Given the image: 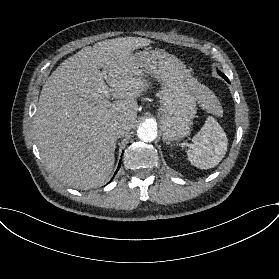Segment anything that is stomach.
<instances>
[{
  "label": "stomach",
  "instance_id": "obj_1",
  "mask_svg": "<svg viewBox=\"0 0 279 279\" xmlns=\"http://www.w3.org/2000/svg\"><path fill=\"white\" fill-rule=\"evenodd\" d=\"M138 55L145 62L147 72L163 81L161 106L157 111L163 142L179 141L189 134L196 114L197 98L186 82L190 72L165 50L148 48Z\"/></svg>",
  "mask_w": 279,
  "mask_h": 279
}]
</instances>
